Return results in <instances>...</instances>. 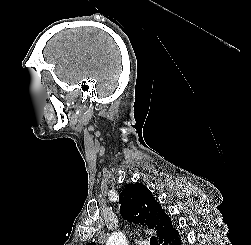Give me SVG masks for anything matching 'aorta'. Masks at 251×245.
Segmentation results:
<instances>
[{
  "label": "aorta",
  "instance_id": "762f6f07",
  "mask_svg": "<svg viewBox=\"0 0 251 245\" xmlns=\"http://www.w3.org/2000/svg\"><path fill=\"white\" fill-rule=\"evenodd\" d=\"M106 245H127V241L122 233L116 232L111 235Z\"/></svg>",
  "mask_w": 251,
  "mask_h": 245
}]
</instances>
